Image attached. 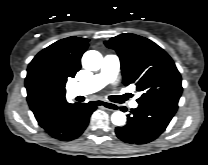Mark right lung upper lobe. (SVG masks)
<instances>
[{"mask_svg": "<svg viewBox=\"0 0 208 165\" xmlns=\"http://www.w3.org/2000/svg\"><path fill=\"white\" fill-rule=\"evenodd\" d=\"M88 39L75 36L59 40L39 52L27 69L25 86L27 101L36 119L48 110L66 102L65 83L81 68V57L88 47ZM33 81H49L53 88L46 93H36Z\"/></svg>", "mask_w": 208, "mask_h": 165, "instance_id": "1", "label": "right lung upper lobe"}]
</instances>
